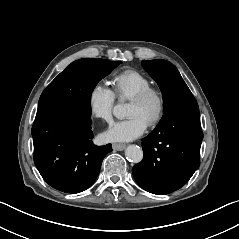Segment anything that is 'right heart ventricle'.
<instances>
[{"instance_id": "e07e8e85", "label": "right heart ventricle", "mask_w": 239, "mask_h": 239, "mask_svg": "<svg viewBox=\"0 0 239 239\" xmlns=\"http://www.w3.org/2000/svg\"><path fill=\"white\" fill-rule=\"evenodd\" d=\"M115 93L121 99H129L138 91L151 85L148 76L136 69H127L111 78Z\"/></svg>"}]
</instances>
